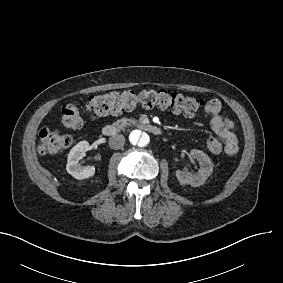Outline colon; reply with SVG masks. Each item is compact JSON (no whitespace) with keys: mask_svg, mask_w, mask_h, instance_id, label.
I'll use <instances>...</instances> for the list:
<instances>
[{"mask_svg":"<svg viewBox=\"0 0 283 283\" xmlns=\"http://www.w3.org/2000/svg\"><path fill=\"white\" fill-rule=\"evenodd\" d=\"M203 98L186 95L179 92L156 91L146 89L139 92L133 90L111 91L106 94L94 96L85 104V110L90 118L102 115H119L127 112L137 105L144 108H168L187 117L195 116L203 105ZM85 123V118L80 106L66 104L61 108L60 124L69 129H79ZM72 139L67 134L59 131L43 129L39 132L36 144V153L39 156L58 154L67 150ZM223 145L220 139L210 137L207 140V149L218 153Z\"/></svg>","mask_w":283,"mask_h":283,"instance_id":"5ec220e1","label":"colon"}]
</instances>
